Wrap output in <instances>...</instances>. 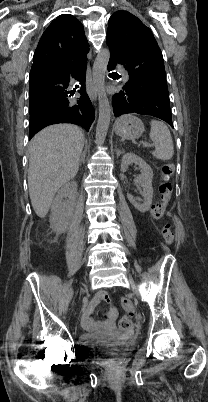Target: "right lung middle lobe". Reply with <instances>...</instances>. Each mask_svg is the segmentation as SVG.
Here are the masks:
<instances>
[{
  "mask_svg": "<svg viewBox=\"0 0 208 402\" xmlns=\"http://www.w3.org/2000/svg\"><path fill=\"white\" fill-rule=\"evenodd\" d=\"M43 97H48L44 96L43 94H30V101H29V106H30V114H32L36 110H41L43 109L40 104L41 100ZM39 98V99H37Z\"/></svg>",
  "mask_w": 208,
  "mask_h": 402,
  "instance_id": "1",
  "label": "right lung middle lobe"
}]
</instances>
